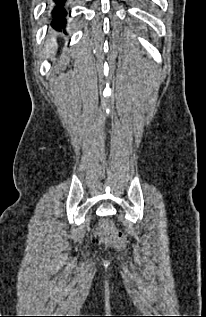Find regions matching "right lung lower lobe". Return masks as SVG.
Wrapping results in <instances>:
<instances>
[{
  "mask_svg": "<svg viewBox=\"0 0 206 317\" xmlns=\"http://www.w3.org/2000/svg\"><path fill=\"white\" fill-rule=\"evenodd\" d=\"M53 1V9L51 11V16L54 19L51 25L55 28H65L66 25V16L67 11L65 10V6L67 4V0H52Z\"/></svg>",
  "mask_w": 206,
  "mask_h": 317,
  "instance_id": "right-lung-lower-lobe-1",
  "label": "right lung lower lobe"
}]
</instances>
